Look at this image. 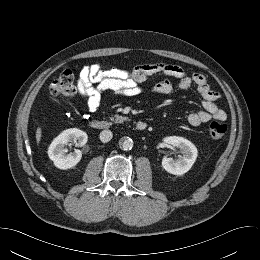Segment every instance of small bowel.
I'll use <instances>...</instances> for the list:
<instances>
[{"label": "small bowel", "instance_id": "1", "mask_svg": "<svg viewBox=\"0 0 260 260\" xmlns=\"http://www.w3.org/2000/svg\"><path fill=\"white\" fill-rule=\"evenodd\" d=\"M155 74H163L176 79L162 80L152 87V92L165 95L177 90H187L196 86L202 97L204 110L188 115L192 126H199L211 119L224 121L226 113L217 105L219 94L211 89L202 73L188 74L182 67L170 63H154L141 65L133 71L119 68L103 69L99 64L84 66L78 75L77 87L79 95L84 99L88 112L98 111L104 92L114 95L133 97L142 92V84Z\"/></svg>", "mask_w": 260, "mask_h": 260}]
</instances>
